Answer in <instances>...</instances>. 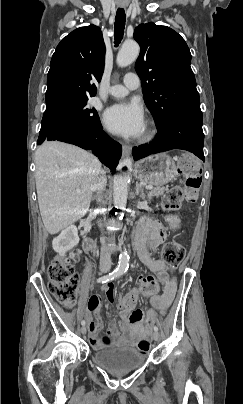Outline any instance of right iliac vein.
<instances>
[{"instance_id":"63e3f726","label":"right iliac vein","mask_w":243,"mask_h":404,"mask_svg":"<svg viewBox=\"0 0 243 404\" xmlns=\"http://www.w3.org/2000/svg\"><path fill=\"white\" fill-rule=\"evenodd\" d=\"M86 331H87L86 327H85V326H82V327H81V333H82V334H85Z\"/></svg>"}]
</instances>
